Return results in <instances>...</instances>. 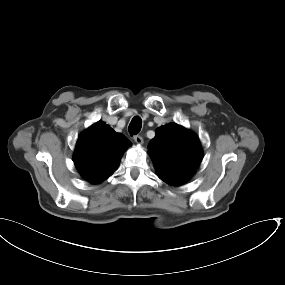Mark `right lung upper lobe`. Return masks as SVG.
<instances>
[{
  "label": "right lung upper lobe",
  "mask_w": 285,
  "mask_h": 285,
  "mask_svg": "<svg viewBox=\"0 0 285 285\" xmlns=\"http://www.w3.org/2000/svg\"><path fill=\"white\" fill-rule=\"evenodd\" d=\"M131 142L106 123L98 121L78 138L74 163L82 177L97 184L118 168L124 151Z\"/></svg>",
  "instance_id": "right-lung-upper-lobe-1"
}]
</instances>
